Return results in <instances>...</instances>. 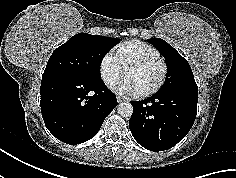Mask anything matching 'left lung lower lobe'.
<instances>
[{
	"instance_id": "left-lung-lower-lobe-1",
	"label": "left lung lower lobe",
	"mask_w": 236,
	"mask_h": 178,
	"mask_svg": "<svg viewBox=\"0 0 236 178\" xmlns=\"http://www.w3.org/2000/svg\"><path fill=\"white\" fill-rule=\"evenodd\" d=\"M198 92H157L142 102H131L129 128L134 139L150 151H164L180 142L191 129Z\"/></svg>"
}]
</instances>
